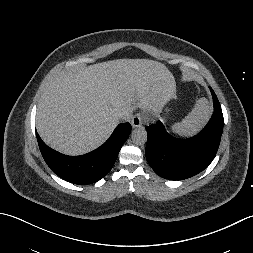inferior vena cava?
I'll return each mask as SVG.
<instances>
[{
  "label": "inferior vena cava",
  "instance_id": "602c4592",
  "mask_svg": "<svg viewBox=\"0 0 253 253\" xmlns=\"http://www.w3.org/2000/svg\"><path fill=\"white\" fill-rule=\"evenodd\" d=\"M118 119L120 121H126V122L130 121L132 119V112L127 111L124 113H120L118 114Z\"/></svg>",
  "mask_w": 253,
  "mask_h": 253
}]
</instances>
